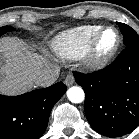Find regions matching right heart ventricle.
<instances>
[{
    "label": "right heart ventricle",
    "instance_id": "obj_1",
    "mask_svg": "<svg viewBox=\"0 0 139 139\" xmlns=\"http://www.w3.org/2000/svg\"><path fill=\"white\" fill-rule=\"evenodd\" d=\"M102 25H82L68 29L55 36L50 47L62 59L77 60L84 56L93 36Z\"/></svg>",
    "mask_w": 139,
    "mask_h": 139
}]
</instances>
